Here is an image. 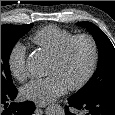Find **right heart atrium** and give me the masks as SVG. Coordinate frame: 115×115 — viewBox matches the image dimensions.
Segmentation results:
<instances>
[{"label": "right heart atrium", "mask_w": 115, "mask_h": 115, "mask_svg": "<svg viewBox=\"0 0 115 115\" xmlns=\"http://www.w3.org/2000/svg\"><path fill=\"white\" fill-rule=\"evenodd\" d=\"M8 68L12 76L19 82H24L29 77L26 64V47L18 42L13 45L8 55Z\"/></svg>", "instance_id": "right-heart-atrium-1"}]
</instances>
